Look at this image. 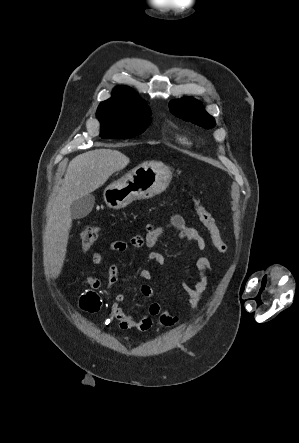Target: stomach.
I'll return each mask as SVG.
<instances>
[{
    "instance_id": "stomach-1",
    "label": "stomach",
    "mask_w": 299,
    "mask_h": 443,
    "mask_svg": "<svg viewBox=\"0 0 299 443\" xmlns=\"http://www.w3.org/2000/svg\"><path fill=\"white\" fill-rule=\"evenodd\" d=\"M172 172L159 162L143 163L104 190V200L113 209L124 208L135 200L148 199L166 190Z\"/></svg>"
}]
</instances>
